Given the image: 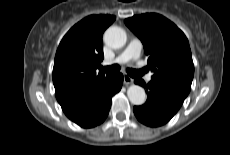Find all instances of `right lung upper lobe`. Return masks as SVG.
I'll list each match as a JSON object with an SVG mask.
<instances>
[{"label":"right lung upper lobe","mask_w":230,"mask_h":155,"mask_svg":"<svg viewBox=\"0 0 230 155\" xmlns=\"http://www.w3.org/2000/svg\"><path fill=\"white\" fill-rule=\"evenodd\" d=\"M115 16L91 15L74 25L57 49L53 83L58 103L74 101L89 93L112 74L96 73L103 60L104 31Z\"/></svg>","instance_id":"1"}]
</instances>
